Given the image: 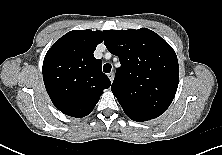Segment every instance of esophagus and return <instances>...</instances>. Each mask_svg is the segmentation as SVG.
Wrapping results in <instances>:
<instances>
[{
	"mask_svg": "<svg viewBox=\"0 0 222 155\" xmlns=\"http://www.w3.org/2000/svg\"><path fill=\"white\" fill-rule=\"evenodd\" d=\"M108 78L110 79L111 82H113V80H114V73L113 72L108 73Z\"/></svg>",
	"mask_w": 222,
	"mask_h": 155,
	"instance_id": "obj_1",
	"label": "esophagus"
}]
</instances>
